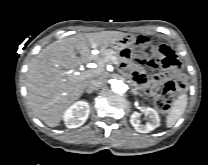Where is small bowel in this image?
Returning a JSON list of instances; mask_svg holds the SVG:
<instances>
[{
	"instance_id": "1",
	"label": "small bowel",
	"mask_w": 208,
	"mask_h": 165,
	"mask_svg": "<svg viewBox=\"0 0 208 165\" xmlns=\"http://www.w3.org/2000/svg\"><path fill=\"white\" fill-rule=\"evenodd\" d=\"M120 55L126 61L131 60L133 57L132 52L127 48L122 49ZM121 69L125 73L129 72V79L135 81L136 84L144 87L145 90L150 94H152L154 86L164 78V76H157L152 80H149L144 71H138L136 69L131 70L132 66L128 62L123 63Z\"/></svg>"
}]
</instances>
